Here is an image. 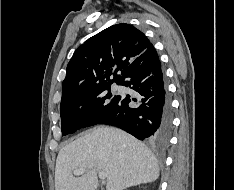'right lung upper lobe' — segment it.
Wrapping results in <instances>:
<instances>
[{
  "label": "right lung upper lobe",
  "mask_w": 234,
  "mask_h": 190,
  "mask_svg": "<svg viewBox=\"0 0 234 190\" xmlns=\"http://www.w3.org/2000/svg\"><path fill=\"white\" fill-rule=\"evenodd\" d=\"M150 46L140 30L126 23L110 26L92 36L68 63L61 103L118 83L126 68Z\"/></svg>",
  "instance_id": "obj_1"
}]
</instances>
